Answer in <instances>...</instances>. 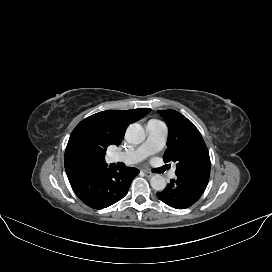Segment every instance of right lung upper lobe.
Returning <instances> with one entry per match:
<instances>
[{"label": "right lung upper lobe", "instance_id": "1", "mask_svg": "<svg viewBox=\"0 0 272 272\" xmlns=\"http://www.w3.org/2000/svg\"><path fill=\"white\" fill-rule=\"evenodd\" d=\"M151 109L107 110L82 120L73 130L65 150L64 164L68 179L96 172L104 167L105 153L109 145H120L126 128Z\"/></svg>", "mask_w": 272, "mask_h": 272}]
</instances>
